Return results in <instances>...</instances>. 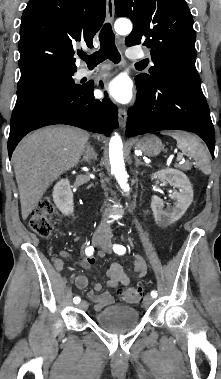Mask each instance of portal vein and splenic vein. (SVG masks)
I'll list each match as a JSON object with an SVG mask.
<instances>
[{
	"instance_id": "portal-vein-and-splenic-vein-1",
	"label": "portal vein and splenic vein",
	"mask_w": 221,
	"mask_h": 379,
	"mask_svg": "<svg viewBox=\"0 0 221 379\" xmlns=\"http://www.w3.org/2000/svg\"><path fill=\"white\" fill-rule=\"evenodd\" d=\"M176 160H177L178 162H181L182 160H184V157H183V156H177V157H176Z\"/></svg>"
}]
</instances>
